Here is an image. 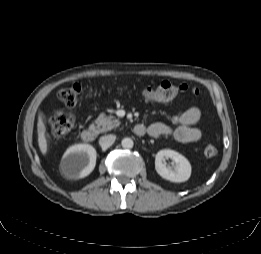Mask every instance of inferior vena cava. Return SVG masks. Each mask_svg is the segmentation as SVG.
Masks as SVG:
<instances>
[{
  "label": "inferior vena cava",
  "instance_id": "1",
  "mask_svg": "<svg viewBox=\"0 0 261 254\" xmlns=\"http://www.w3.org/2000/svg\"><path fill=\"white\" fill-rule=\"evenodd\" d=\"M115 139H116L115 135L102 136L99 139V144L103 149H107L114 143Z\"/></svg>",
  "mask_w": 261,
  "mask_h": 254
}]
</instances>
